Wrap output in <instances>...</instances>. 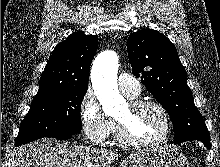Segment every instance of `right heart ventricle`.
I'll return each mask as SVG.
<instances>
[{"instance_id":"e07e8e85","label":"right heart ventricle","mask_w":220,"mask_h":167,"mask_svg":"<svg viewBox=\"0 0 220 167\" xmlns=\"http://www.w3.org/2000/svg\"><path fill=\"white\" fill-rule=\"evenodd\" d=\"M112 132H115V126H114V128H113Z\"/></svg>"}]
</instances>
